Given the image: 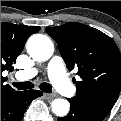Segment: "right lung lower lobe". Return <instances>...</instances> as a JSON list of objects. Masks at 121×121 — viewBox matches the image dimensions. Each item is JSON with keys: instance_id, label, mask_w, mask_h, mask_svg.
<instances>
[{"instance_id": "obj_1", "label": "right lung lower lobe", "mask_w": 121, "mask_h": 121, "mask_svg": "<svg viewBox=\"0 0 121 121\" xmlns=\"http://www.w3.org/2000/svg\"><path fill=\"white\" fill-rule=\"evenodd\" d=\"M42 96L39 90L15 91L1 99V121H21L31 101Z\"/></svg>"}]
</instances>
